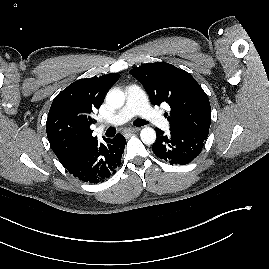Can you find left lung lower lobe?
Instances as JSON below:
<instances>
[{"instance_id": "1", "label": "left lung lower lobe", "mask_w": 269, "mask_h": 269, "mask_svg": "<svg viewBox=\"0 0 269 269\" xmlns=\"http://www.w3.org/2000/svg\"><path fill=\"white\" fill-rule=\"evenodd\" d=\"M209 131L170 130L167 136L156 128L157 139L152 146L154 154L171 165H185L202 151Z\"/></svg>"}]
</instances>
